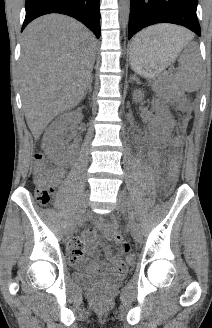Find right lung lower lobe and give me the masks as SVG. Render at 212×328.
I'll return each mask as SVG.
<instances>
[{
    "label": "right lung lower lobe",
    "instance_id": "98d812e1",
    "mask_svg": "<svg viewBox=\"0 0 212 328\" xmlns=\"http://www.w3.org/2000/svg\"><path fill=\"white\" fill-rule=\"evenodd\" d=\"M26 16L21 31L35 18L61 13L76 18L100 37L99 0H26Z\"/></svg>",
    "mask_w": 212,
    "mask_h": 328
}]
</instances>
